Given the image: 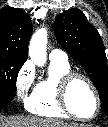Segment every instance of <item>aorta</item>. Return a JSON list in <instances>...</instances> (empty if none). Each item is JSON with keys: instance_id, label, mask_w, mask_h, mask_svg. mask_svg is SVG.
<instances>
[{"instance_id": "aorta-1", "label": "aorta", "mask_w": 108, "mask_h": 127, "mask_svg": "<svg viewBox=\"0 0 108 127\" xmlns=\"http://www.w3.org/2000/svg\"><path fill=\"white\" fill-rule=\"evenodd\" d=\"M47 30L38 29L31 37L29 43V56L32 62L42 67L46 63Z\"/></svg>"}]
</instances>
